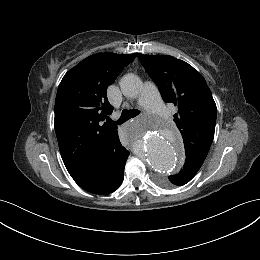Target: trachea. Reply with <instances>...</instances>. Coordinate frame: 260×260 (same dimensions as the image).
<instances>
[{"label":"trachea","instance_id":"3493384b","mask_svg":"<svg viewBox=\"0 0 260 260\" xmlns=\"http://www.w3.org/2000/svg\"><path fill=\"white\" fill-rule=\"evenodd\" d=\"M139 114H140V111L137 109H132V110L124 109L121 113L119 120L117 121V124L120 125V124L126 122L127 120H129L130 118L136 117ZM110 123H113V121L110 120Z\"/></svg>","mask_w":260,"mask_h":260}]
</instances>
